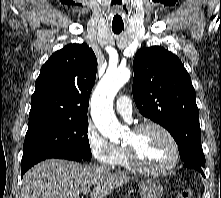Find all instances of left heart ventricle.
Listing matches in <instances>:
<instances>
[{"mask_svg":"<svg viewBox=\"0 0 221 198\" xmlns=\"http://www.w3.org/2000/svg\"><path fill=\"white\" fill-rule=\"evenodd\" d=\"M125 145L132 146L139 161L147 167L165 166L173 155L169 139L155 128H148L137 135L130 132Z\"/></svg>","mask_w":221,"mask_h":198,"instance_id":"left-heart-ventricle-1","label":"left heart ventricle"}]
</instances>
